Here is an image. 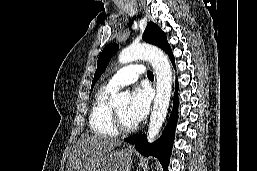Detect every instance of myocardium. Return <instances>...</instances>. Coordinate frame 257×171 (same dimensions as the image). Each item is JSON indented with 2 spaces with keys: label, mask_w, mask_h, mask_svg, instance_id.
<instances>
[{
  "label": "myocardium",
  "mask_w": 257,
  "mask_h": 171,
  "mask_svg": "<svg viewBox=\"0 0 257 171\" xmlns=\"http://www.w3.org/2000/svg\"><path fill=\"white\" fill-rule=\"evenodd\" d=\"M112 118H113V125L114 128L120 133H129L137 129V123L128 125L126 124L116 108L112 107Z\"/></svg>",
  "instance_id": "myocardium-1"
}]
</instances>
